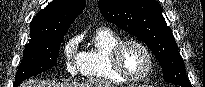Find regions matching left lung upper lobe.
<instances>
[{"label": "left lung upper lobe", "mask_w": 205, "mask_h": 87, "mask_svg": "<svg viewBox=\"0 0 205 87\" xmlns=\"http://www.w3.org/2000/svg\"><path fill=\"white\" fill-rule=\"evenodd\" d=\"M103 17L141 39L151 49L163 69L164 80L191 87L174 36L155 0H99Z\"/></svg>", "instance_id": "5c2ea615"}]
</instances>
